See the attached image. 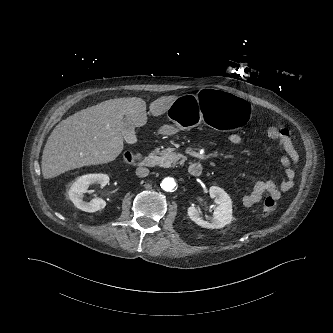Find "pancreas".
<instances>
[{
	"instance_id": "1",
	"label": "pancreas",
	"mask_w": 333,
	"mask_h": 333,
	"mask_svg": "<svg viewBox=\"0 0 333 333\" xmlns=\"http://www.w3.org/2000/svg\"><path fill=\"white\" fill-rule=\"evenodd\" d=\"M154 152L156 155H160L158 159L159 164L162 167H173L177 164H183L185 161V157L182 154L175 152V149L171 147L163 149L161 152L159 151V148H157Z\"/></svg>"
}]
</instances>
